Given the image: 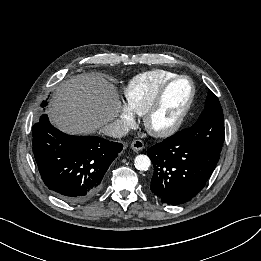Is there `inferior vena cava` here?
Listing matches in <instances>:
<instances>
[{"label":"inferior vena cava","instance_id":"1","mask_svg":"<svg viewBox=\"0 0 261 261\" xmlns=\"http://www.w3.org/2000/svg\"><path fill=\"white\" fill-rule=\"evenodd\" d=\"M129 130L130 129L128 125L121 120H115L114 122L105 125L101 129L103 134L114 138H120L128 134Z\"/></svg>","mask_w":261,"mask_h":261}]
</instances>
